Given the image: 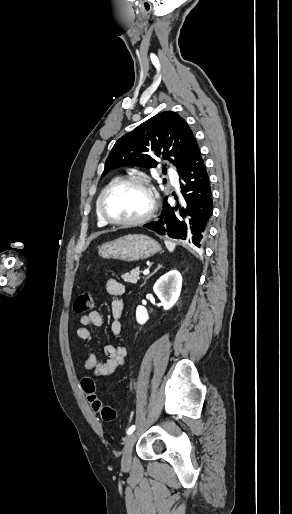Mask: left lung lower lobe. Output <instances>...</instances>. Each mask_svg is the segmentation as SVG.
<instances>
[{
  "instance_id": "1",
  "label": "left lung lower lobe",
  "mask_w": 292,
  "mask_h": 514,
  "mask_svg": "<svg viewBox=\"0 0 292 514\" xmlns=\"http://www.w3.org/2000/svg\"><path fill=\"white\" fill-rule=\"evenodd\" d=\"M178 174L182 179V197H175L177 205L168 204L166 197L159 220L145 224L144 227L201 247L207 238L213 199L209 176L196 139Z\"/></svg>"
}]
</instances>
